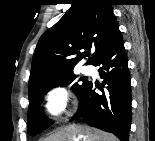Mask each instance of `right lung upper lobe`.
Returning <instances> with one entry per match:
<instances>
[{"mask_svg":"<svg viewBox=\"0 0 155 141\" xmlns=\"http://www.w3.org/2000/svg\"><path fill=\"white\" fill-rule=\"evenodd\" d=\"M108 0H76L65 15L45 31L36 46L28 88L42 80L72 71L90 56L93 64L120 32ZM81 50H84L82 53Z\"/></svg>","mask_w":155,"mask_h":141,"instance_id":"cb5924a9","label":"right lung upper lobe"}]
</instances>
